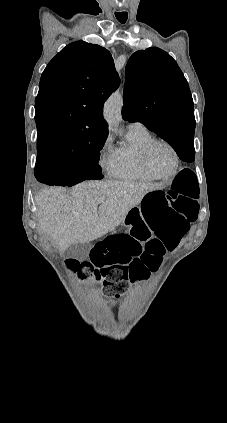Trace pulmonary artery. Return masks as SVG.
<instances>
[{"label": "pulmonary artery", "mask_w": 227, "mask_h": 423, "mask_svg": "<svg viewBox=\"0 0 227 423\" xmlns=\"http://www.w3.org/2000/svg\"><path fill=\"white\" fill-rule=\"evenodd\" d=\"M141 126H142V124H141V123L134 122V123H130V124L128 125V128H132V127H141Z\"/></svg>", "instance_id": "1"}]
</instances>
